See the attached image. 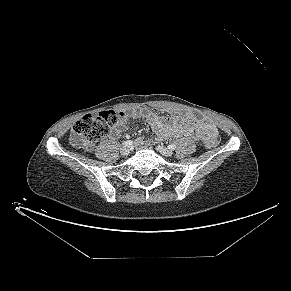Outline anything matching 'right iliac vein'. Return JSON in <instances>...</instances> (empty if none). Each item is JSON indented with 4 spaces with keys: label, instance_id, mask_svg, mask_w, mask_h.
Instances as JSON below:
<instances>
[{
    "label": "right iliac vein",
    "instance_id": "right-iliac-vein-1",
    "mask_svg": "<svg viewBox=\"0 0 291 291\" xmlns=\"http://www.w3.org/2000/svg\"><path fill=\"white\" fill-rule=\"evenodd\" d=\"M120 153H121L123 156H127V155L130 153V148H129V146H123V147H121V149H120Z\"/></svg>",
    "mask_w": 291,
    "mask_h": 291
}]
</instances>
